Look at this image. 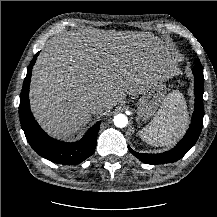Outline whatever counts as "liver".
<instances>
[{"label": "liver", "instance_id": "6515ba94", "mask_svg": "<svg viewBox=\"0 0 217 217\" xmlns=\"http://www.w3.org/2000/svg\"><path fill=\"white\" fill-rule=\"evenodd\" d=\"M140 46L134 39L97 30L48 40L33 67L29 92L41 126L55 137L68 138L91 119V102H104V110H110L125 94L140 95L157 83L152 67L165 71L175 60L154 57L149 67L142 65Z\"/></svg>", "mask_w": 217, "mask_h": 217}]
</instances>
